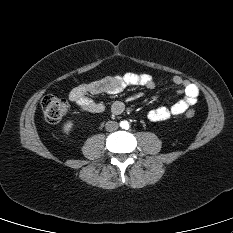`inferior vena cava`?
I'll return each mask as SVG.
<instances>
[{
  "instance_id": "obj_1",
  "label": "inferior vena cava",
  "mask_w": 233,
  "mask_h": 233,
  "mask_svg": "<svg viewBox=\"0 0 233 233\" xmlns=\"http://www.w3.org/2000/svg\"><path fill=\"white\" fill-rule=\"evenodd\" d=\"M118 127H119V125H118V123L115 122V121H108V122L105 124L106 130H107V131H110V132L117 130Z\"/></svg>"
}]
</instances>
